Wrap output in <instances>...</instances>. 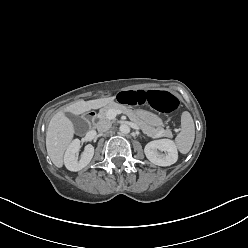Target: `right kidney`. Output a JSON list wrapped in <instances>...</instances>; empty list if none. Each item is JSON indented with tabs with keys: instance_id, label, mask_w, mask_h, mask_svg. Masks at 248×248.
Here are the masks:
<instances>
[{
	"instance_id": "ca27d5eb",
	"label": "right kidney",
	"mask_w": 248,
	"mask_h": 248,
	"mask_svg": "<svg viewBox=\"0 0 248 248\" xmlns=\"http://www.w3.org/2000/svg\"><path fill=\"white\" fill-rule=\"evenodd\" d=\"M80 140H73L70 145L67 147V150L64 155V164L65 167L70 171H80L86 167L94 155V147L91 144H88L84 148V152L80 160H78L77 154L80 149Z\"/></svg>"
}]
</instances>
